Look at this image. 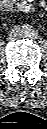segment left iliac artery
Here are the masks:
<instances>
[{"label":"left iliac artery","mask_w":47,"mask_h":129,"mask_svg":"<svg viewBox=\"0 0 47 129\" xmlns=\"http://www.w3.org/2000/svg\"><path fill=\"white\" fill-rule=\"evenodd\" d=\"M32 36H33L34 38H38V34H37L36 32H33V33H32Z\"/></svg>","instance_id":"1"}]
</instances>
